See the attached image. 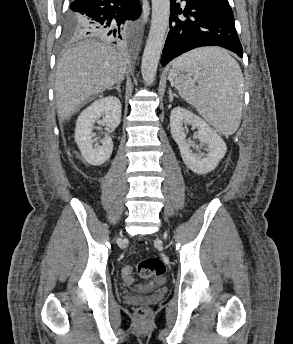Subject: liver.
Listing matches in <instances>:
<instances>
[{
  "instance_id": "6515ba94",
  "label": "liver",
  "mask_w": 293,
  "mask_h": 344,
  "mask_svg": "<svg viewBox=\"0 0 293 344\" xmlns=\"http://www.w3.org/2000/svg\"><path fill=\"white\" fill-rule=\"evenodd\" d=\"M125 57L112 47L87 41L66 51L55 75V96L60 123L69 120L92 95L123 80Z\"/></svg>"
}]
</instances>
